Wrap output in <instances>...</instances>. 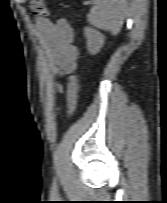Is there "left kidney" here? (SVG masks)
<instances>
[{
    "label": "left kidney",
    "mask_w": 167,
    "mask_h": 203,
    "mask_svg": "<svg viewBox=\"0 0 167 203\" xmlns=\"http://www.w3.org/2000/svg\"><path fill=\"white\" fill-rule=\"evenodd\" d=\"M85 36L87 40V49L89 53L95 55L103 47L105 37L98 31L90 27L85 28Z\"/></svg>",
    "instance_id": "left-kidney-1"
}]
</instances>
